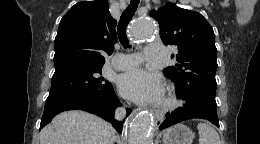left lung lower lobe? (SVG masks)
Instances as JSON below:
<instances>
[{
  "label": "left lung lower lobe",
  "mask_w": 260,
  "mask_h": 144,
  "mask_svg": "<svg viewBox=\"0 0 260 144\" xmlns=\"http://www.w3.org/2000/svg\"><path fill=\"white\" fill-rule=\"evenodd\" d=\"M168 118L161 124V130L168 128L174 124L190 120L205 119L219 127L217 116V105L211 102H197L191 107L178 108L172 114H168Z\"/></svg>",
  "instance_id": "obj_1"
}]
</instances>
